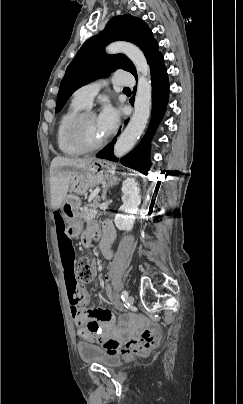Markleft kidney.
Listing matches in <instances>:
<instances>
[{"instance_id":"left-kidney-1","label":"left kidney","mask_w":243,"mask_h":404,"mask_svg":"<svg viewBox=\"0 0 243 404\" xmlns=\"http://www.w3.org/2000/svg\"><path fill=\"white\" fill-rule=\"evenodd\" d=\"M122 202L123 206L119 208L123 214H116L114 218L115 226L118 230H126L131 232L136 216L141 204L140 188L138 182L134 178H127L122 186Z\"/></svg>"}]
</instances>
